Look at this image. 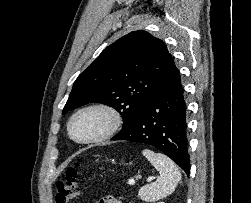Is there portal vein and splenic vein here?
I'll return each mask as SVG.
<instances>
[{
    "label": "portal vein and splenic vein",
    "instance_id": "portal-vein-and-splenic-vein-1",
    "mask_svg": "<svg viewBox=\"0 0 251 203\" xmlns=\"http://www.w3.org/2000/svg\"><path fill=\"white\" fill-rule=\"evenodd\" d=\"M129 184L130 185H134L135 184V181L133 179L129 180Z\"/></svg>",
    "mask_w": 251,
    "mask_h": 203
}]
</instances>
